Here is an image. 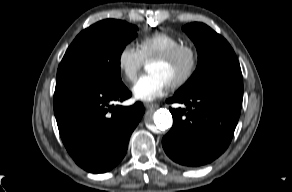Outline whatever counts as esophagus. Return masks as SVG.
I'll return each mask as SVG.
<instances>
[{
  "label": "esophagus",
  "instance_id": "1",
  "mask_svg": "<svg viewBox=\"0 0 292 192\" xmlns=\"http://www.w3.org/2000/svg\"><path fill=\"white\" fill-rule=\"evenodd\" d=\"M144 106L147 108V109H155L158 107V104L156 103H145Z\"/></svg>",
  "mask_w": 292,
  "mask_h": 192
}]
</instances>
